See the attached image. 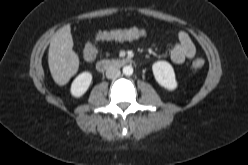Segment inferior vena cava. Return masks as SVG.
Wrapping results in <instances>:
<instances>
[{"mask_svg": "<svg viewBox=\"0 0 248 165\" xmlns=\"http://www.w3.org/2000/svg\"><path fill=\"white\" fill-rule=\"evenodd\" d=\"M121 72L118 68L110 67L106 70V77L108 79H116L120 76Z\"/></svg>", "mask_w": 248, "mask_h": 165, "instance_id": "obj_1", "label": "inferior vena cava"}]
</instances>
